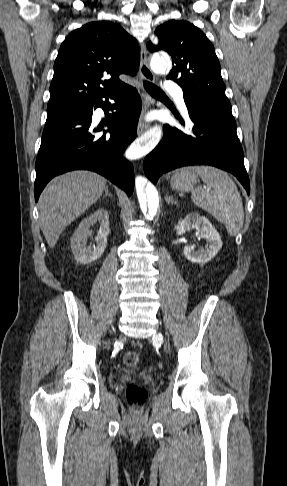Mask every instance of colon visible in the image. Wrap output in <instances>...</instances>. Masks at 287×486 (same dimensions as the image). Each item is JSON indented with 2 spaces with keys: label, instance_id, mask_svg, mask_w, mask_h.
I'll use <instances>...</instances> for the list:
<instances>
[{
  "label": "colon",
  "instance_id": "5ec220e1",
  "mask_svg": "<svg viewBox=\"0 0 287 486\" xmlns=\"http://www.w3.org/2000/svg\"><path fill=\"white\" fill-rule=\"evenodd\" d=\"M123 362L128 367H136L140 363V355L135 351H128L123 356ZM146 389L137 383H131L126 388V400L131 407H140L146 400Z\"/></svg>",
  "mask_w": 287,
  "mask_h": 486
}]
</instances>
